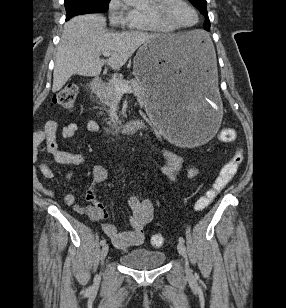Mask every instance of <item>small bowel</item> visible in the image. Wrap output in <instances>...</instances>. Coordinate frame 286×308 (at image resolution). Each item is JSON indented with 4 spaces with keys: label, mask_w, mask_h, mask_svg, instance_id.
Segmentation results:
<instances>
[{
    "label": "small bowel",
    "mask_w": 286,
    "mask_h": 308,
    "mask_svg": "<svg viewBox=\"0 0 286 308\" xmlns=\"http://www.w3.org/2000/svg\"><path fill=\"white\" fill-rule=\"evenodd\" d=\"M78 128L79 126L77 123H68L61 128L60 135L63 139L69 140L75 135ZM57 130V122L48 121L44 129L36 134V138L38 140H46L58 162L69 166L83 164L85 162V157L82 154L58 149ZM87 130L90 133L96 134L99 132V125L95 121L90 120L87 122ZM162 154L168 163V167L162 172L164 178L174 180L179 175L192 178L197 174V169L192 166L184 165L171 148L164 146L162 148ZM39 170L46 178L53 177V172L46 163H41ZM92 173L94 182L86 191V200L89 202L88 205L81 206L77 204L73 194H66L63 201L66 206L72 207L78 213L87 215L93 222H100L102 220H107L109 218V213L105 206L98 200L97 189L99 185L103 184L108 179V173L101 165H94L92 167ZM66 178L70 180L71 173H67ZM127 202L132 211V216L129 221L130 228L127 231L119 232L113 224L108 222L101 224L103 232L110 238L113 245L122 251H126L133 246H138L143 242L144 229L154 217V203L151 199L140 201L138 198L131 196L128 198Z\"/></svg>",
    "instance_id": "c3829d8e"
}]
</instances>
